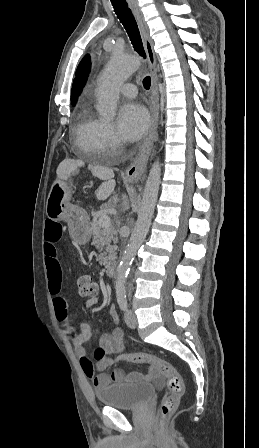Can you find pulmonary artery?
<instances>
[{
	"mask_svg": "<svg viewBox=\"0 0 259 448\" xmlns=\"http://www.w3.org/2000/svg\"><path fill=\"white\" fill-rule=\"evenodd\" d=\"M139 58L136 54L127 53L115 61V66L122 80L130 76L137 68ZM118 93L128 97H134L137 94L135 87L132 84L120 85L117 87Z\"/></svg>",
	"mask_w": 259,
	"mask_h": 448,
	"instance_id": "obj_1",
	"label": "pulmonary artery"
}]
</instances>
